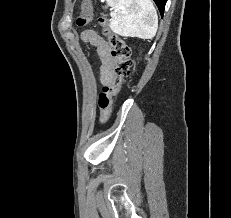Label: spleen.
<instances>
[{
    "mask_svg": "<svg viewBox=\"0 0 231 218\" xmlns=\"http://www.w3.org/2000/svg\"><path fill=\"white\" fill-rule=\"evenodd\" d=\"M110 7V28L124 37L151 39L158 30V16L151 0H101Z\"/></svg>",
    "mask_w": 231,
    "mask_h": 218,
    "instance_id": "spleen-1",
    "label": "spleen"
}]
</instances>
